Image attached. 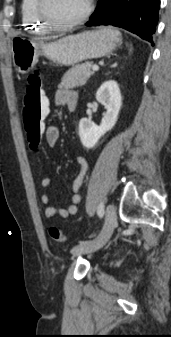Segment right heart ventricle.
Wrapping results in <instances>:
<instances>
[{
  "label": "right heart ventricle",
  "mask_w": 171,
  "mask_h": 337,
  "mask_svg": "<svg viewBox=\"0 0 171 337\" xmlns=\"http://www.w3.org/2000/svg\"><path fill=\"white\" fill-rule=\"evenodd\" d=\"M22 25L27 31L45 33L48 27L40 20L37 12V0L21 1Z\"/></svg>",
  "instance_id": "1"
}]
</instances>
